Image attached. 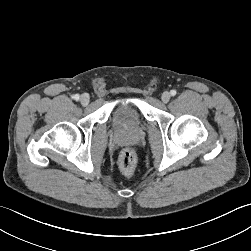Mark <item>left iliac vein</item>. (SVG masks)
Returning <instances> with one entry per match:
<instances>
[{
  "label": "left iliac vein",
  "instance_id": "4c4485c4",
  "mask_svg": "<svg viewBox=\"0 0 251 251\" xmlns=\"http://www.w3.org/2000/svg\"><path fill=\"white\" fill-rule=\"evenodd\" d=\"M171 98V95L168 91L162 93L161 99L164 103H167Z\"/></svg>",
  "mask_w": 251,
  "mask_h": 251
}]
</instances>
